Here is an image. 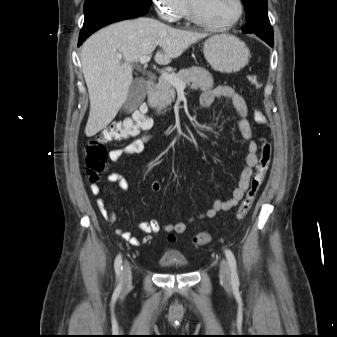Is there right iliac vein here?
<instances>
[{
  "mask_svg": "<svg viewBox=\"0 0 337 337\" xmlns=\"http://www.w3.org/2000/svg\"><path fill=\"white\" fill-rule=\"evenodd\" d=\"M132 273L128 262H125L123 268V293H125L131 286Z\"/></svg>",
  "mask_w": 337,
  "mask_h": 337,
  "instance_id": "1",
  "label": "right iliac vein"
}]
</instances>
